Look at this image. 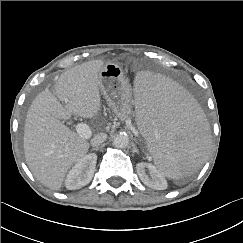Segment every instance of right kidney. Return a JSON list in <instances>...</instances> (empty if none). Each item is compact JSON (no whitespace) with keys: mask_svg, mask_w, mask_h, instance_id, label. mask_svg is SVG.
Wrapping results in <instances>:
<instances>
[{"mask_svg":"<svg viewBox=\"0 0 243 243\" xmlns=\"http://www.w3.org/2000/svg\"><path fill=\"white\" fill-rule=\"evenodd\" d=\"M97 162L96 154H88L82 157L69 171L65 180L68 190H76L87 185L93 177Z\"/></svg>","mask_w":243,"mask_h":243,"instance_id":"obj_1","label":"right kidney"}]
</instances>
